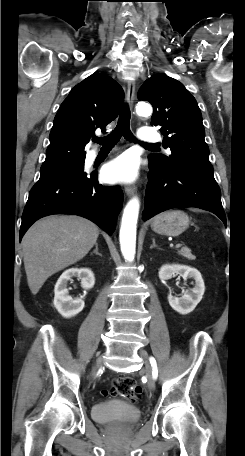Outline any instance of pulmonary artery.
Instances as JSON below:
<instances>
[{"instance_id":"1","label":"pulmonary artery","mask_w":245,"mask_h":456,"mask_svg":"<svg viewBox=\"0 0 245 456\" xmlns=\"http://www.w3.org/2000/svg\"><path fill=\"white\" fill-rule=\"evenodd\" d=\"M139 139L142 142H158L160 140V135L153 128L143 127L139 130ZM95 154L93 153V156Z\"/></svg>"}]
</instances>
